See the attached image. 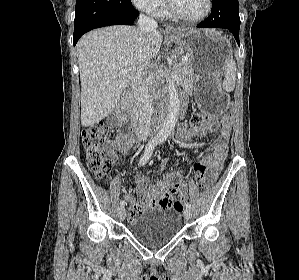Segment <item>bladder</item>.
<instances>
[{"label":"bladder","instance_id":"31cf9c89","mask_svg":"<svg viewBox=\"0 0 299 280\" xmlns=\"http://www.w3.org/2000/svg\"><path fill=\"white\" fill-rule=\"evenodd\" d=\"M182 228L181 213L174 208L153 207L131 220L128 230L148 247H159L178 235Z\"/></svg>","mask_w":299,"mask_h":280}]
</instances>
